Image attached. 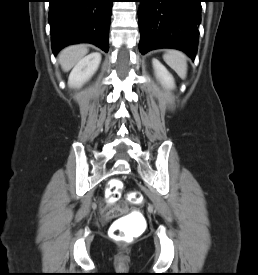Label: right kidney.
I'll return each mask as SVG.
<instances>
[{
    "label": "right kidney",
    "instance_id": "obj_1",
    "mask_svg": "<svg viewBox=\"0 0 258 275\" xmlns=\"http://www.w3.org/2000/svg\"><path fill=\"white\" fill-rule=\"evenodd\" d=\"M101 61L100 53H91L83 57L72 69L68 84L70 87H80L85 83L97 70Z\"/></svg>",
    "mask_w": 258,
    "mask_h": 275
}]
</instances>
